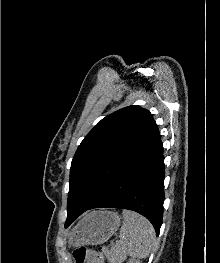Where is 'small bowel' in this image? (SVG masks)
Here are the masks:
<instances>
[{
  "mask_svg": "<svg viewBox=\"0 0 220 263\" xmlns=\"http://www.w3.org/2000/svg\"><path fill=\"white\" fill-rule=\"evenodd\" d=\"M88 263H93V261H89Z\"/></svg>",
  "mask_w": 220,
  "mask_h": 263,
  "instance_id": "1",
  "label": "small bowel"
}]
</instances>
